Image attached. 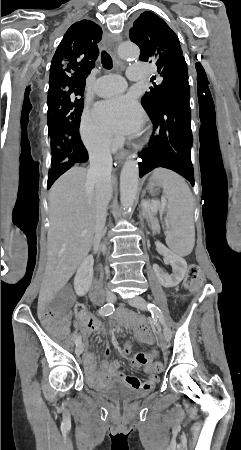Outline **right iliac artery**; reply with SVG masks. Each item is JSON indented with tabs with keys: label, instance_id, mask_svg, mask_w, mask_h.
<instances>
[{
	"label": "right iliac artery",
	"instance_id": "1",
	"mask_svg": "<svg viewBox=\"0 0 241 450\" xmlns=\"http://www.w3.org/2000/svg\"><path fill=\"white\" fill-rule=\"evenodd\" d=\"M113 311H114V305L111 303H109V304L107 303L99 309L98 313L101 316H109L113 313ZM80 343H81V336H78L75 339V344L78 345Z\"/></svg>",
	"mask_w": 241,
	"mask_h": 450
}]
</instances>
